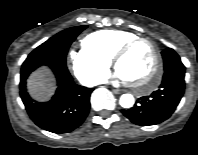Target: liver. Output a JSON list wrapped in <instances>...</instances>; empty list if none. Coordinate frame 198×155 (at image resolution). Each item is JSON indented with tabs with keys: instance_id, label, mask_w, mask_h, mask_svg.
Instances as JSON below:
<instances>
[{
	"instance_id": "6515ba94",
	"label": "liver",
	"mask_w": 198,
	"mask_h": 155,
	"mask_svg": "<svg viewBox=\"0 0 198 155\" xmlns=\"http://www.w3.org/2000/svg\"><path fill=\"white\" fill-rule=\"evenodd\" d=\"M27 87L31 96L39 101L48 100L55 90L54 79L46 68L31 74L27 80Z\"/></svg>"
}]
</instances>
